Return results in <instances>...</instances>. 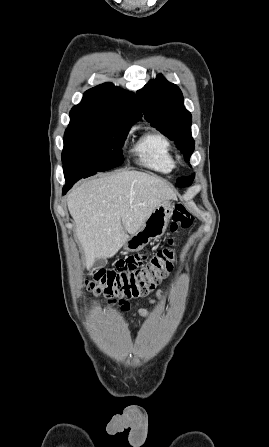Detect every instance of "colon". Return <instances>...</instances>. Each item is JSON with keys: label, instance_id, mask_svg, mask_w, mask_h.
<instances>
[{"label": "colon", "instance_id": "1", "mask_svg": "<svg viewBox=\"0 0 269 447\" xmlns=\"http://www.w3.org/2000/svg\"><path fill=\"white\" fill-rule=\"evenodd\" d=\"M192 221L193 215L185 206L177 205L169 224L170 234L189 227ZM175 262V251L168 248L160 249L154 255L147 252L127 253L126 257H118L115 266H108L104 271L100 267L94 269L84 282L86 298L93 293L103 294L107 295L104 301L114 303L117 301L115 297L131 299L147 296L167 278ZM124 306L127 303H120L118 310L123 312Z\"/></svg>", "mask_w": 269, "mask_h": 447}]
</instances>
